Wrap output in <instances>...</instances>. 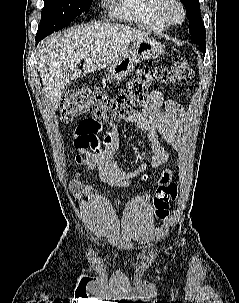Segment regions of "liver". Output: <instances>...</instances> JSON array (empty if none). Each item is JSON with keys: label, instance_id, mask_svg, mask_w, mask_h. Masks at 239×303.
Listing matches in <instances>:
<instances>
[{"label": "liver", "instance_id": "1", "mask_svg": "<svg viewBox=\"0 0 239 303\" xmlns=\"http://www.w3.org/2000/svg\"><path fill=\"white\" fill-rule=\"evenodd\" d=\"M146 37L147 32L126 25L95 23L44 39L37 51L38 71L52 109L58 108L66 84L111 65L130 43ZM82 59L83 73L78 68Z\"/></svg>", "mask_w": 239, "mask_h": 303}]
</instances>
